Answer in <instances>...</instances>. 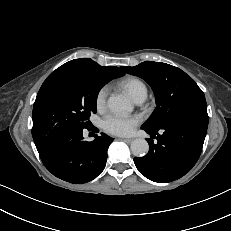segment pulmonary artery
I'll return each mask as SVG.
<instances>
[{"label":"pulmonary artery","mask_w":231,"mask_h":231,"mask_svg":"<svg viewBox=\"0 0 231 231\" xmlns=\"http://www.w3.org/2000/svg\"><path fill=\"white\" fill-rule=\"evenodd\" d=\"M143 100H138V101H136L137 103H141Z\"/></svg>","instance_id":"pulmonary-artery-1"}]
</instances>
